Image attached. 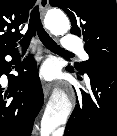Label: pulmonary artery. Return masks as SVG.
I'll list each match as a JSON object with an SVG mask.
<instances>
[{"mask_svg":"<svg viewBox=\"0 0 117 136\" xmlns=\"http://www.w3.org/2000/svg\"><path fill=\"white\" fill-rule=\"evenodd\" d=\"M62 47L67 51L78 52L81 55L83 60L88 59L87 53L82 48L81 41L72 35L68 34L63 38Z\"/></svg>","mask_w":117,"mask_h":136,"instance_id":"pulmonary-artery-1","label":"pulmonary artery"}]
</instances>
